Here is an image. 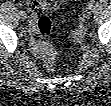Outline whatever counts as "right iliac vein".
I'll use <instances>...</instances> for the list:
<instances>
[{"label":"right iliac vein","instance_id":"right-iliac-vein-1","mask_svg":"<svg viewBox=\"0 0 111 106\" xmlns=\"http://www.w3.org/2000/svg\"><path fill=\"white\" fill-rule=\"evenodd\" d=\"M20 19H21L22 21L26 20V14H20Z\"/></svg>","mask_w":111,"mask_h":106}]
</instances>
